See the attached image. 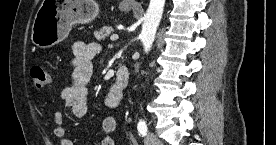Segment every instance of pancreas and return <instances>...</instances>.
Returning a JSON list of instances; mask_svg holds the SVG:
<instances>
[{
  "label": "pancreas",
  "instance_id": "1",
  "mask_svg": "<svg viewBox=\"0 0 276 145\" xmlns=\"http://www.w3.org/2000/svg\"><path fill=\"white\" fill-rule=\"evenodd\" d=\"M113 31L112 27H102L94 33V36L98 41L105 40Z\"/></svg>",
  "mask_w": 276,
  "mask_h": 145
}]
</instances>
